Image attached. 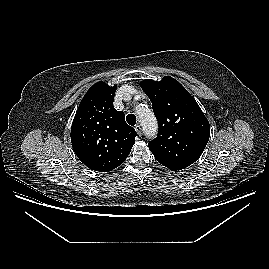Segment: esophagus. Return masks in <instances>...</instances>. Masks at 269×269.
Instances as JSON below:
<instances>
[{
  "label": "esophagus",
  "mask_w": 269,
  "mask_h": 269,
  "mask_svg": "<svg viewBox=\"0 0 269 269\" xmlns=\"http://www.w3.org/2000/svg\"><path fill=\"white\" fill-rule=\"evenodd\" d=\"M135 130L139 136L142 135V127L140 124L135 125Z\"/></svg>",
  "instance_id": "esophagus-1"
}]
</instances>
